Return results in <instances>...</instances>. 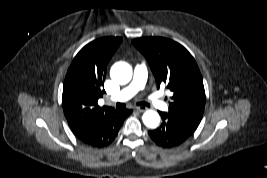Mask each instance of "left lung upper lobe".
Segmentation results:
<instances>
[{"instance_id":"5c2ea615","label":"left lung upper lobe","mask_w":267,"mask_h":178,"mask_svg":"<svg viewBox=\"0 0 267 178\" xmlns=\"http://www.w3.org/2000/svg\"><path fill=\"white\" fill-rule=\"evenodd\" d=\"M133 45L145 56L157 82L173 92L166 116L194 133L205 107L200 70L192 55L179 43L163 37L137 38Z\"/></svg>"}]
</instances>
